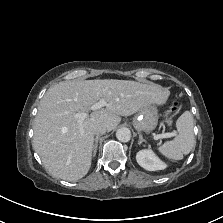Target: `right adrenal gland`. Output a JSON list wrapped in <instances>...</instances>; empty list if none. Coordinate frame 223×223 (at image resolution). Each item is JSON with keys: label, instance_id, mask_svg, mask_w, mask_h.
<instances>
[{"label": "right adrenal gland", "instance_id": "1", "mask_svg": "<svg viewBox=\"0 0 223 223\" xmlns=\"http://www.w3.org/2000/svg\"><path fill=\"white\" fill-rule=\"evenodd\" d=\"M98 139H99V137L97 136V137L95 138V144H94V147H93V156H94V157H95L96 152H97Z\"/></svg>", "mask_w": 223, "mask_h": 223}]
</instances>
